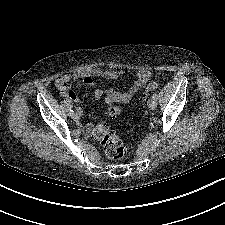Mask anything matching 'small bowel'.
I'll return each instance as SVG.
<instances>
[{"instance_id":"c3829d8e","label":"small bowel","mask_w":225,"mask_h":225,"mask_svg":"<svg viewBox=\"0 0 225 225\" xmlns=\"http://www.w3.org/2000/svg\"><path fill=\"white\" fill-rule=\"evenodd\" d=\"M122 71L117 69H92L89 71L81 72L78 74H65L58 77L55 80L56 88L65 96L70 98L74 103L81 104L80 99L71 89V83L77 81L84 86L94 87L95 99H101L104 95V91L97 87L94 78H105V79H118L121 77ZM150 77V73L147 70L141 69L135 72L134 82L126 91H116L113 89L106 91L105 102L110 106L114 103H128L134 95L144 86ZM86 134L90 135L93 131V125L87 124L84 126Z\"/></svg>"}]
</instances>
